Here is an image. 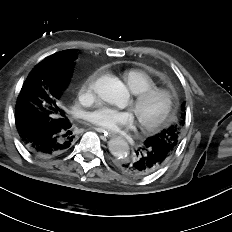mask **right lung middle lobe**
<instances>
[{"label":"right lung middle lobe","mask_w":232,"mask_h":232,"mask_svg":"<svg viewBox=\"0 0 232 232\" xmlns=\"http://www.w3.org/2000/svg\"><path fill=\"white\" fill-rule=\"evenodd\" d=\"M75 57H62L55 63H39L24 82L16 103V114H29V105L38 107L34 124L51 127L67 119L60 106L62 91L68 86Z\"/></svg>","instance_id":"obj_1"}]
</instances>
